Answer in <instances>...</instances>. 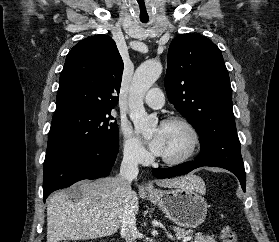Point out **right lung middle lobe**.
I'll return each instance as SVG.
<instances>
[{
  "mask_svg": "<svg viewBox=\"0 0 279 242\" xmlns=\"http://www.w3.org/2000/svg\"><path fill=\"white\" fill-rule=\"evenodd\" d=\"M110 110L77 109L52 118L45 160L85 147L118 145L119 130Z\"/></svg>",
  "mask_w": 279,
  "mask_h": 242,
  "instance_id": "obj_1",
  "label": "right lung middle lobe"
}]
</instances>
